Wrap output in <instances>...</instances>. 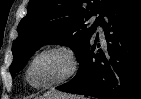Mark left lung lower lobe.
I'll return each instance as SVG.
<instances>
[{"label": "left lung lower lobe", "instance_id": "left-lung-lower-lobe-1", "mask_svg": "<svg viewBox=\"0 0 141 99\" xmlns=\"http://www.w3.org/2000/svg\"><path fill=\"white\" fill-rule=\"evenodd\" d=\"M103 16L98 25L107 51L94 53L100 47L97 35L79 59L76 76L57 89L100 99H141V0H116Z\"/></svg>", "mask_w": 141, "mask_h": 99}]
</instances>
